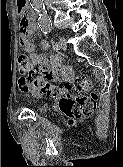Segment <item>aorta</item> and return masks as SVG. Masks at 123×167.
Instances as JSON below:
<instances>
[{"label":"aorta","mask_w":123,"mask_h":167,"mask_svg":"<svg viewBox=\"0 0 123 167\" xmlns=\"http://www.w3.org/2000/svg\"><path fill=\"white\" fill-rule=\"evenodd\" d=\"M31 5L38 15V25L43 32L51 30V21L45 10L43 0H31Z\"/></svg>","instance_id":"1"}]
</instances>
